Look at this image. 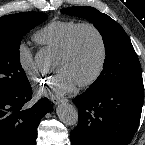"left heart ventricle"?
<instances>
[{
    "mask_svg": "<svg viewBox=\"0 0 145 145\" xmlns=\"http://www.w3.org/2000/svg\"><path fill=\"white\" fill-rule=\"evenodd\" d=\"M100 60V46L94 32L88 28L79 31L72 54L58 56L56 71H67L77 83L90 78Z\"/></svg>",
    "mask_w": 145,
    "mask_h": 145,
    "instance_id": "left-heart-ventricle-1",
    "label": "left heart ventricle"
}]
</instances>
